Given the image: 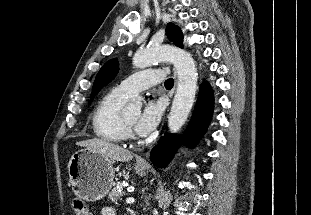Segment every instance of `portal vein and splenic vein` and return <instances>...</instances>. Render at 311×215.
<instances>
[{"mask_svg": "<svg viewBox=\"0 0 311 215\" xmlns=\"http://www.w3.org/2000/svg\"><path fill=\"white\" fill-rule=\"evenodd\" d=\"M134 202H135L134 198L129 197L126 199L127 204H133Z\"/></svg>", "mask_w": 311, "mask_h": 215, "instance_id": "18ae733b", "label": "portal vein and splenic vein"}]
</instances>
